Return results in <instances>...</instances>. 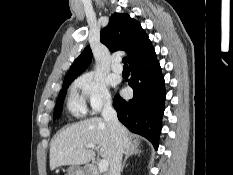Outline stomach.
<instances>
[{
	"label": "stomach",
	"instance_id": "0dacf381",
	"mask_svg": "<svg viewBox=\"0 0 233 175\" xmlns=\"http://www.w3.org/2000/svg\"><path fill=\"white\" fill-rule=\"evenodd\" d=\"M67 172L68 175H87L86 170L78 166L69 167Z\"/></svg>",
	"mask_w": 233,
	"mask_h": 175
}]
</instances>
